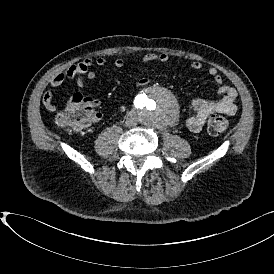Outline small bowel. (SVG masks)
Listing matches in <instances>:
<instances>
[{
  "label": "small bowel",
  "mask_w": 274,
  "mask_h": 274,
  "mask_svg": "<svg viewBox=\"0 0 274 274\" xmlns=\"http://www.w3.org/2000/svg\"><path fill=\"white\" fill-rule=\"evenodd\" d=\"M142 61L144 63H167L169 61V55L166 53H147L143 56ZM107 61L104 57H97L95 60L84 59L81 62L72 65L65 72L59 73L54 76L50 82L49 93H46L42 97V102L47 109L52 110L55 108L56 103L53 100L52 93L54 89L60 87L67 80L75 79L77 86L81 89L85 88V78L93 80L96 78V72L93 70V65L97 67H104ZM113 65L117 69H121L125 65V61L122 58H116ZM203 65L200 61H193L191 68L194 70L202 69ZM208 73L212 77L215 84L219 86L218 100H193L186 107L187 119L186 126L189 131L198 133L204 127L207 119L214 113H221L226 115H233L237 111V91L229 85L224 84V79L219 73L217 68L209 67ZM151 80L148 77L140 78L135 84L134 88L147 86ZM72 102L80 103L88 110V115L82 126L75 129L76 131H82L90 125L97 124L103 119V114L97 110L101 105V98H84L80 95H75L72 98ZM121 111L125 109V105L119 107Z\"/></svg>",
  "instance_id": "c3829d8e"
}]
</instances>
